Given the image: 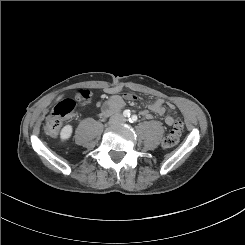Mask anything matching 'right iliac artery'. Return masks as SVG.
I'll list each match as a JSON object with an SVG mask.
<instances>
[{"label":"right iliac artery","mask_w":245,"mask_h":245,"mask_svg":"<svg viewBox=\"0 0 245 245\" xmlns=\"http://www.w3.org/2000/svg\"><path fill=\"white\" fill-rule=\"evenodd\" d=\"M123 115H124L125 117H130V111H129V110H125V111L123 112Z\"/></svg>","instance_id":"82829eb1"}]
</instances>
